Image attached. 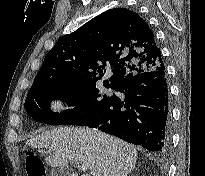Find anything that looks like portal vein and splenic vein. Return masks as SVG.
I'll list each match as a JSON object with an SVG mask.
<instances>
[{
    "mask_svg": "<svg viewBox=\"0 0 205 176\" xmlns=\"http://www.w3.org/2000/svg\"><path fill=\"white\" fill-rule=\"evenodd\" d=\"M77 167L79 169H81L83 172L87 171V167L85 165H82V164H79V163H76Z\"/></svg>",
    "mask_w": 205,
    "mask_h": 176,
    "instance_id": "1",
    "label": "portal vein and splenic vein"
}]
</instances>
